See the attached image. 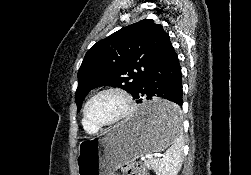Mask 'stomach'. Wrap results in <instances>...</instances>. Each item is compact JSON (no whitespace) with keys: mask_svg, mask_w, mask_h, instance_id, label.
Segmentation results:
<instances>
[{"mask_svg":"<svg viewBox=\"0 0 251 175\" xmlns=\"http://www.w3.org/2000/svg\"><path fill=\"white\" fill-rule=\"evenodd\" d=\"M174 100H144L126 121L117 123L105 135L85 137L75 157L78 175H113L116 169L140 155L155 154L182 134Z\"/></svg>","mask_w":251,"mask_h":175,"instance_id":"1","label":"stomach"}]
</instances>
